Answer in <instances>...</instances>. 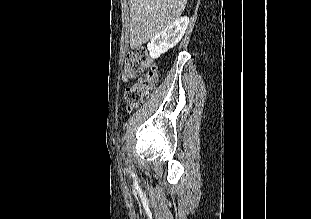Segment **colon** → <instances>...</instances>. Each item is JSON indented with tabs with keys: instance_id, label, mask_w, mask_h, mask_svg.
Masks as SVG:
<instances>
[{
	"instance_id": "5ec220e1",
	"label": "colon",
	"mask_w": 311,
	"mask_h": 219,
	"mask_svg": "<svg viewBox=\"0 0 311 219\" xmlns=\"http://www.w3.org/2000/svg\"><path fill=\"white\" fill-rule=\"evenodd\" d=\"M122 77L125 81H137L125 89V99L128 108H136L154 89L159 73L156 65L144 47L129 53L124 61Z\"/></svg>"
}]
</instances>
